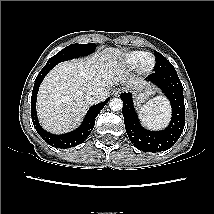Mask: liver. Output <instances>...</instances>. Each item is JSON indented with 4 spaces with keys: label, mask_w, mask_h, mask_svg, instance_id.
<instances>
[{
    "label": "liver",
    "mask_w": 214,
    "mask_h": 214,
    "mask_svg": "<svg viewBox=\"0 0 214 214\" xmlns=\"http://www.w3.org/2000/svg\"><path fill=\"white\" fill-rule=\"evenodd\" d=\"M121 52L107 48L100 55L85 60L58 64L42 82L37 113L42 126L55 134L67 132L81 122L91 105L86 99L90 88L110 89L118 83H126V72L118 59ZM130 79L129 86L140 84Z\"/></svg>",
    "instance_id": "1"
}]
</instances>
